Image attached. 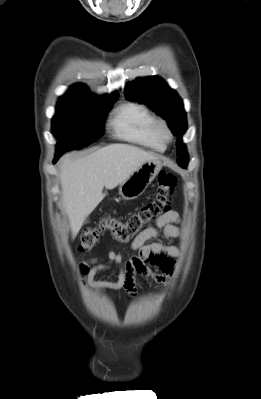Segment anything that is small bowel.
Returning a JSON list of instances; mask_svg holds the SVG:
<instances>
[{
	"label": "small bowel",
	"instance_id": "1",
	"mask_svg": "<svg viewBox=\"0 0 261 399\" xmlns=\"http://www.w3.org/2000/svg\"><path fill=\"white\" fill-rule=\"evenodd\" d=\"M178 223L179 215L175 211L167 212L132 241L131 248L135 251L134 255L124 260L120 253L111 250L107 254L108 260L105 263H100L95 257L82 262L78 269L80 276L97 291L106 288L115 290L124 288L131 296L136 295L138 291L136 282L138 276L151 278L157 283L168 284L175 272L176 260L181 256V252L177 246L166 244L163 240L180 238L181 231ZM154 239L159 241L149 243ZM112 266L118 268L117 280L95 279L98 272L108 270Z\"/></svg>",
	"mask_w": 261,
	"mask_h": 399
}]
</instances>
